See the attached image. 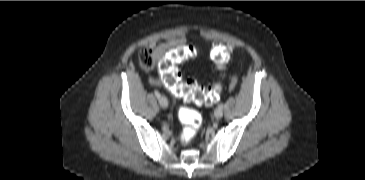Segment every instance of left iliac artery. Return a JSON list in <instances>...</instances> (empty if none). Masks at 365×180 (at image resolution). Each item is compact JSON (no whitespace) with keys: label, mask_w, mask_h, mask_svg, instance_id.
Listing matches in <instances>:
<instances>
[{"label":"left iliac artery","mask_w":365,"mask_h":180,"mask_svg":"<svg viewBox=\"0 0 365 180\" xmlns=\"http://www.w3.org/2000/svg\"><path fill=\"white\" fill-rule=\"evenodd\" d=\"M218 108H221L222 109L223 108V104L218 105Z\"/></svg>","instance_id":"1"}]
</instances>
